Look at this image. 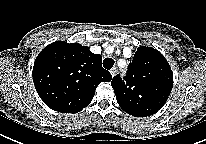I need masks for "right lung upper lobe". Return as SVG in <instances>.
<instances>
[{
  "mask_svg": "<svg viewBox=\"0 0 206 144\" xmlns=\"http://www.w3.org/2000/svg\"><path fill=\"white\" fill-rule=\"evenodd\" d=\"M101 55L79 43L56 41L37 56L33 82L42 101L62 113H77L92 101L101 82L112 76L102 65Z\"/></svg>",
  "mask_w": 206,
  "mask_h": 144,
  "instance_id": "right-lung-upper-lobe-1",
  "label": "right lung upper lobe"
}]
</instances>
